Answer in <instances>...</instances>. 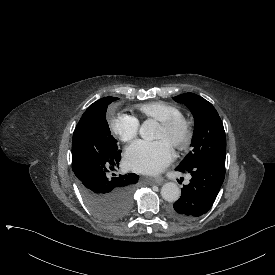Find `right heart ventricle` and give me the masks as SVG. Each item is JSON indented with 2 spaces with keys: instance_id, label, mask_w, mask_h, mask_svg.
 Listing matches in <instances>:
<instances>
[{
  "instance_id": "e07e8e85",
  "label": "right heart ventricle",
  "mask_w": 275,
  "mask_h": 275,
  "mask_svg": "<svg viewBox=\"0 0 275 275\" xmlns=\"http://www.w3.org/2000/svg\"><path fill=\"white\" fill-rule=\"evenodd\" d=\"M137 109L147 118L158 122L181 116L179 109L160 101L138 105Z\"/></svg>"
}]
</instances>
